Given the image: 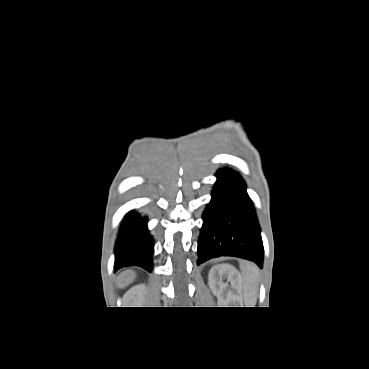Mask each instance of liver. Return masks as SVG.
<instances>
[{
	"label": "liver",
	"instance_id": "obj_1",
	"mask_svg": "<svg viewBox=\"0 0 369 369\" xmlns=\"http://www.w3.org/2000/svg\"><path fill=\"white\" fill-rule=\"evenodd\" d=\"M135 278H136V273L132 270H126L122 272L117 282L118 287L119 288L127 287L130 283L134 281Z\"/></svg>",
	"mask_w": 369,
	"mask_h": 369
}]
</instances>
